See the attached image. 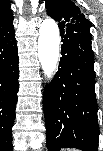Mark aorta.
Segmentation results:
<instances>
[{
  "label": "aorta",
  "mask_w": 103,
  "mask_h": 151,
  "mask_svg": "<svg viewBox=\"0 0 103 151\" xmlns=\"http://www.w3.org/2000/svg\"><path fill=\"white\" fill-rule=\"evenodd\" d=\"M60 48V32L57 23L45 19L39 28L38 58L47 80L53 78L57 69Z\"/></svg>",
  "instance_id": "aorta-1"
}]
</instances>
